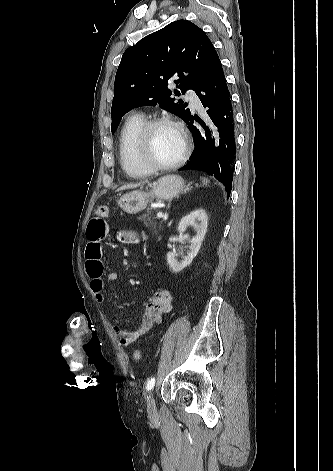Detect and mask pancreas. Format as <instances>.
<instances>
[{
    "instance_id": "obj_1",
    "label": "pancreas",
    "mask_w": 333,
    "mask_h": 471,
    "mask_svg": "<svg viewBox=\"0 0 333 471\" xmlns=\"http://www.w3.org/2000/svg\"><path fill=\"white\" fill-rule=\"evenodd\" d=\"M139 219L143 221L145 226L148 227L153 233H157L162 229L161 223H158L156 218L152 217V211L150 209H148L147 212Z\"/></svg>"
}]
</instances>
